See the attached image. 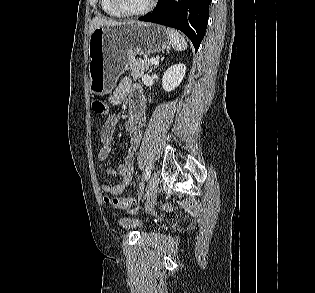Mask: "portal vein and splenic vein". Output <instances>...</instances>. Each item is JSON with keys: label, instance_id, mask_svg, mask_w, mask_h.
<instances>
[{"label": "portal vein and splenic vein", "instance_id": "18ae733b", "mask_svg": "<svg viewBox=\"0 0 315 293\" xmlns=\"http://www.w3.org/2000/svg\"><path fill=\"white\" fill-rule=\"evenodd\" d=\"M149 62L152 63V64H157V63H158V60H157V59H154V58H151V59L149 60Z\"/></svg>", "mask_w": 315, "mask_h": 293}]
</instances>
